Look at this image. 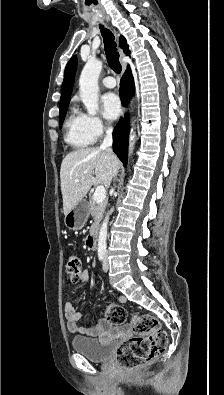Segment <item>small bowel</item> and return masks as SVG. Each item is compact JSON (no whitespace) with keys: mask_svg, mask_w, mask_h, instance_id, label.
I'll use <instances>...</instances> for the list:
<instances>
[{"mask_svg":"<svg viewBox=\"0 0 224 395\" xmlns=\"http://www.w3.org/2000/svg\"><path fill=\"white\" fill-rule=\"evenodd\" d=\"M88 279H89L88 272L83 271L80 274V276L77 278V283L83 284L87 282ZM119 300L125 301L126 298L125 296L120 295ZM64 315H65L68 330L74 334L95 337V336H101L105 332L111 333L114 331V328L112 327V323H110L106 319L100 320L99 322L92 324L91 320L88 318H84L82 314L74 307V305L71 302L65 303Z\"/></svg>","mask_w":224,"mask_h":395,"instance_id":"obj_1","label":"small bowel"}]
</instances>
